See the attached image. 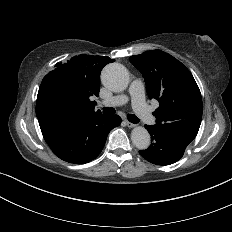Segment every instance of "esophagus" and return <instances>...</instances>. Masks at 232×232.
<instances>
[{
	"instance_id": "esophagus-1",
	"label": "esophagus",
	"mask_w": 232,
	"mask_h": 232,
	"mask_svg": "<svg viewBox=\"0 0 232 232\" xmlns=\"http://www.w3.org/2000/svg\"><path fill=\"white\" fill-rule=\"evenodd\" d=\"M125 122H126V125H127L128 127H130V128L135 127V124H133V123H131V122H129V121H125Z\"/></svg>"
}]
</instances>
